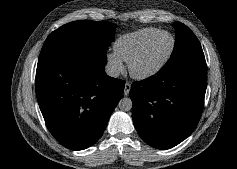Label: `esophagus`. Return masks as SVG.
Wrapping results in <instances>:
<instances>
[{
	"label": "esophagus",
	"instance_id": "34e87169",
	"mask_svg": "<svg viewBox=\"0 0 237 169\" xmlns=\"http://www.w3.org/2000/svg\"><path fill=\"white\" fill-rule=\"evenodd\" d=\"M130 89H131V83L127 82L125 83V86H124V95L127 96L130 92Z\"/></svg>",
	"mask_w": 237,
	"mask_h": 169
}]
</instances>
